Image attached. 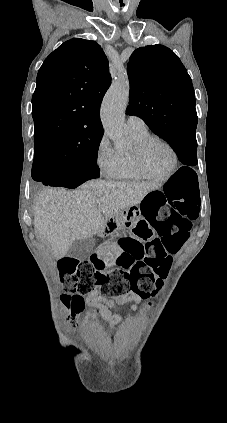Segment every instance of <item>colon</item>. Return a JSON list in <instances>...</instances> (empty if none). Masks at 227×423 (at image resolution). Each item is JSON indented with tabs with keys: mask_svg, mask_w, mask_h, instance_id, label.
Segmentation results:
<instances>
[{
	"mask_svg": "<svg viewBox=\"0 0 227 423\" xmlns=\"http://www.w3.org/2000/svg\"><path fill=\"white\" fill-rule=\"evenodd\" d=\"M199 209L200 193L195 173L179 170L162 188L146 196L142 211L149 225L136 222L132 235L116 241L118 253L109 274L101 272L104 263L97 254L89 260L63 259L59 266L65 288L62 302L71 315L83 308L82 296L95 287L114 297L129 293L141 299L154 297L163 287L172 263L171 254L189 238L192 221L197 218Z\"/></svg>",
	"mask_w": 227,
	"mask_h": 423,
	"instance_id": "colon-1",
	"label": "colon"
}]
</instances>
